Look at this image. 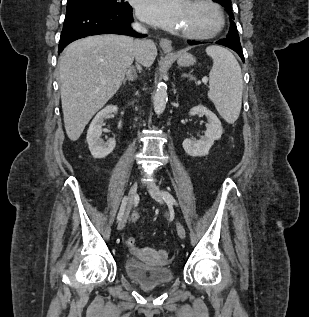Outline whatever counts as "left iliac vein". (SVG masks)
<instances>
[{"instance_id":"left-iliac-vein-1","label":"left iliac vein","mask_w":309,"mask_h":317,"mask_svg":"<svg viewBox=\"0 0 309 317\" xmlns=\"http://www.w3.org/2000/svg\"><path fill=\"white\" fill-rule=\"evenodd\" d=\"M148 192L151 195V197L153 199H155L157 202L162 203V204L164 203L163 197H162V195L159 191V188L156 184H150L148 187ZM176 229H177V233H178L179 237L181 239H184L186 237V231H185V228L181 222H179V221L176 222Z\"/></svg>"}]
</instances>
